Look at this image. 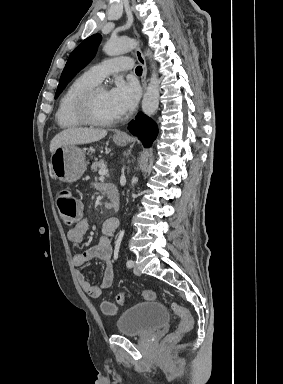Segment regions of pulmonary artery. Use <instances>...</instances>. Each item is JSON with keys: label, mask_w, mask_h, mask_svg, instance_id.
I'll return each mask as SVG.
<instances>
[{"label": "pulmonary artery", "mask_w": 283, "mask_h": 384, "mask_svg": "<svg viewBox=\"0 0 283 384\" xmlns=\"http://www.w3.org/2000/svg\"><path fill=\"white\" fill-rule=\"evenodd\" d=\"M131 61H106L92 67L85 75L94 83H100L103 78L117 71H131Z\"/></svg>", "instance_id": "pulmonary-artery-1"}]
</instances>
